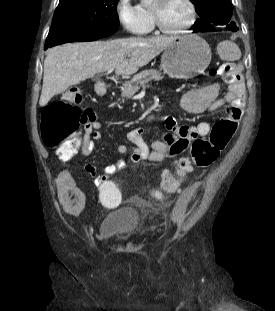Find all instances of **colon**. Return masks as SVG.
<instances>
[{"instance_id": "1", "label": "colon", "mask_w": 275, "mask_h": 311, "mask_svg": "<svg viewBox=\"0 0 275 311\" xmlns=\"http://www.w3.org/2000/svg\"><path fill=\"white\" fill-rule=\"evenodd\" d=\"M219 74L226 80H230L234 73L231 62H223L219 66ZM71 99L58 101L46 105L41 115V137L48 148H53L61 159L73 157L84 147L79 128L86 125L93 118L90 110H82L76 102L81 96L74 90ZM237 129V119L217 118V124L213 127L209 139L195 137L188 144L191 156L178 159V173L173 176L165 173L159 190H155L152 196L161 199L164 194L175 193L181 181H183L193 167L205 168L213 165L219 159L222 151L228 146ZM186 148V149H187ZM185 149V150H186ZM116 178H105L104 183H98L100 202L114 205L120 201Z\"/></svg>"}]
</instances>
